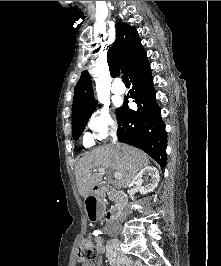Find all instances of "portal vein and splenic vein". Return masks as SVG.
<instances>
[{
    "label": "portal vein and splenic vein",
    "instance_id": "portal-vein-and-splenic-vein-1",
    "mask_svg": "<svg viewBox=\"0 0 221 266\" xmlns=\"http://www.w3.org/2000/svg\"><path fill=\"white\" fill-rule=\"evenodd\" d=\"M93 172H105V168H98V169H95V170H93ZM114 177L116 178V179H118V180H120L121 179V174L120 173H117V172H115L114 173Z\"/></svg>",
    "mask_w": 221,
    "mask_h": 266
}]
</instances>
